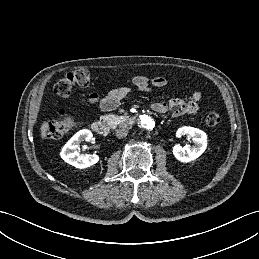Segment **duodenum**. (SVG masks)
Returning a JSON list of instances; mask_svg holds the SVG:
<instances>
[{"instance_id":"duodenum-1","label":"duodenum","mask_w":259,"mask_h":259,"mask_svg":"<svg viewBox=\"0 0 259 259\" xmlns=\"http://www.w3.org/2000/svg\"><path fill=\"white\" fill-rule=\"evenodd\" d=\"M138 120V117H131L127 120V124H133ZM93 131L100 136H107L109 133V127L102 120H95L92 123Z\"/></svg>"}]
</instances>
